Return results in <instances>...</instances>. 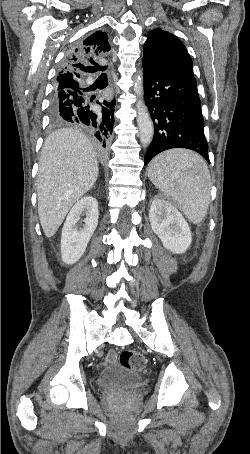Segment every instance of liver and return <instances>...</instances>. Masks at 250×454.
I'll return each mask as SVG.
<instances>
[{
    "label": "liver",
    "instance_id": "obj_1",
    "mask_svg": "<svg viewBox=\"0 0 250 454\" xmlns=\"http://www.w3.org/2000/svg\"><path fill=\"white\" fill-rule=\"evenodd\" d=\"M97 152L79 130L52 132L42 148L37 176L38 215L46 237H52L73 204L95 184Z\"/></svg>",
    "mask_w": 250,
    "mask_h": 454
}]
</instances>
